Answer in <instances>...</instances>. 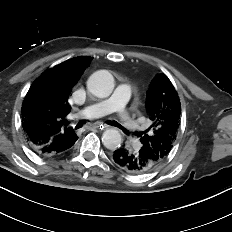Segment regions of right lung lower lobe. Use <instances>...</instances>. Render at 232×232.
Instances as JSON below:
<instances>
[{
	"instance_id": "obj_1",
	"label": "right lung lower lobe",
	"mask_w": 232,
	"mask_h": 232,
	"mask_svg": "<svg viewBox=\"0 0 232 232\" xmlns=\"http://www.w3.org/2000/svg\"><path fill=\"white\" fill-rule=\"evenodd\" d=\"M77 135L71 138L55 139L49 144L43 146H35L29 143L32 150L41 156H54L67 152L77 141Z\"/></svg>"
}]
</instances>
